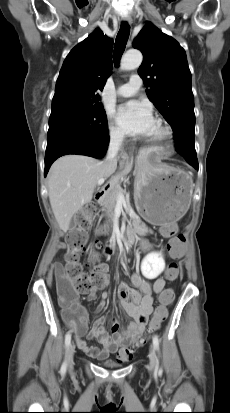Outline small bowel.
<instances>
[{"label": "small bowel", "instance_id": "1", "mask_svg": "<svg viewBox=\"0 0 230 413\" xmlns=\"http://www.w3.org/2000/svg\"><path fill=\"white\" fill-rule=\"evenodd\" d=\"M176 230V222L162 223V232L165 236H172ZM100 267L103 270L104 281L100 287H94L88 292L89 300H94L97 292L109 285L108 266L102 263ZM165 278L168 279L167 275H165ZM131 282L133 287H129L127 284H120L118 295L123 312L132 321L127 328H120L118 321L114 320L111 327V335L105 329V316L97 317L92 329L88 331V312L79 302L75 301L73 308L63 311V318L66 325L73 331L78 348L91 358L104 360L111 354L117 353L121 361H126L124 355L125 347L142 337L149 317L153 312V294H161L167 290L165 289L166 280L164 278H157L151 283L140 274H134L131 277ZM106 297L107 294L105 293L103 300L98 304V311H101L106 306ZM84 335L90 340L96 339L101 347L97 348L89 345L83 339Z\"/></svg>", "mask_w": 230, "mask_h": 413}]
</instances>
